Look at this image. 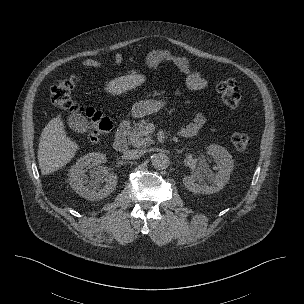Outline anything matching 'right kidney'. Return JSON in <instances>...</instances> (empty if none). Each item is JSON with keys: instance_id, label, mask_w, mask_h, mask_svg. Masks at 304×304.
<instances>
[{"instance_id": "1", "label": "right kidney", "mask_w": 304, "mask_h": 304, "mask_svg": "<svg viewBox=\"0 0 304 304\" xmlns=\"http://www.w3.org/2000/svg\"><path fill=\"white\" fill-rule=\"evenodd\" d=\"M105 155L101 153H89L81 157L69 171L70 185L76 193L90 201H96L111 194L117 185V176L109 173L106 167L101 166L105 162ZM95 167L90 171V177L85 175V167L90 164ZM89 183L87 186L84 183ZM105 182V185L102 184Z\"/></svg>"}]
</instances>
